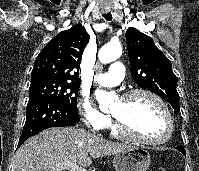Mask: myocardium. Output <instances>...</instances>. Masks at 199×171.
Instances as JSON below:
<instances>
[{
    "label": "myocardium",
    "instance_id": "1",
    "mask_svg": "<svg viewBox=\"0 0 199 171\" xmlns=\"http://www.w3.org/2000/svg\"><path fill=\"white\" fill-rule=\"evenodd\" d=\"M137 95H146L152 98L161 107L167 119V134L161 139L147 138L131 130L127 123L121 117L111 114L113 120V127L116 130V132L128 139L149 145H162L169 142L174 134V120L166 102L158 94L146 88H135L128 90L122 94L120 99L122 101H127Z\"/></svg>",
    "mask_w": 199,
    "mask_h": 171
}]
</instances>
